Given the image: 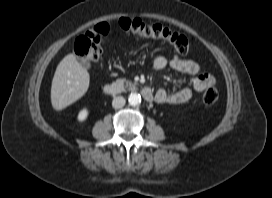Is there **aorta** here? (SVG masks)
I'll use <instances>...</instances> for the list:
<instances>
[{
  "mask_svg": "<svg viewBox=\"0 0 272 198\" xmlns=\"http://www.w3.org/2000/svg\"><path fill=\"white\" fill-rule=\"evenodd\" d=\"M128 102L131 106H137L141 103V96L137 93H131L128 97Z\"/></svg>",
  "mask_w": 272,
  "mask_h": 198,
  "instance_id": "obj_1",
  "label": "aorta"
}]
</instances>
